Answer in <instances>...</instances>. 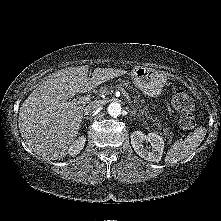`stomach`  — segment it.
Segmentation results:
<instances>
[{"instance_id":"0dacf381","label":"stomach","mask_w":221,"mask_h":221,"mask_svg":"<svg viewBox=\"0 0 221 221\" xmlns=\"http://www.w3.org/2000/svg\"><path fill=\"white\" fill-rule=\"evenodd\" d=\"M131 77L135 86L151 97L161 94L167 80L163 73L141 66H137L131 71Z\"/></svg>"}]
</instances>
